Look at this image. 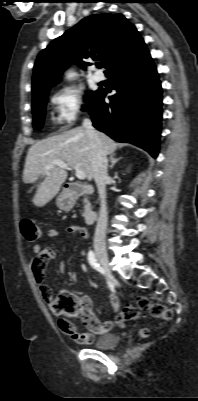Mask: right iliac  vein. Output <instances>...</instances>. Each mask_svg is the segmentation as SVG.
I'll list each match as a JSON object with an SVG mask.
<instances>
[{"label": "right iliac vein", "mask_w": 198, "mask_h": 401, "mask_svg": "<svg viewBox=\"0 0 198 401\" xmlns=\"http://www.w3.org/2000/svg\"><path fill=\"white\" fill-rule=\"evenodd\" d=\"M95 251H96V256L101 266L103 267L107 278L110 280L112 278V274L109 268V259L105 248L102 246H96Z\"/></svg>", "instance_id": "63e3f726"}]
</instances>
